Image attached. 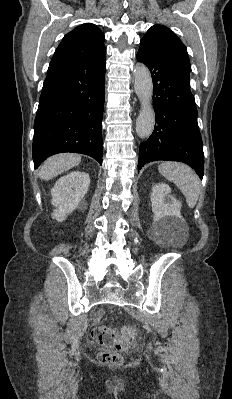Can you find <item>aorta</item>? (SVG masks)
Here are the masks:
<instances>
[{
    "instance_id": "762f6f07",
    "label": "aorta",
    "mask_w": 232,
    "mask_h": 399,
    "mask_svg": "<svg viewBox=\"0 0 232 399\" xmlns=\"http://www.w3.org/2000/svg\"><path fill=\"white\" fill-rule=\"evenodd\" d=\"M134 89L141 103L136 121V133L140 138H148L154 129L155 115L152 106V78L144 64H138L134 68Z\"/></svg>"
}]
</instances>
